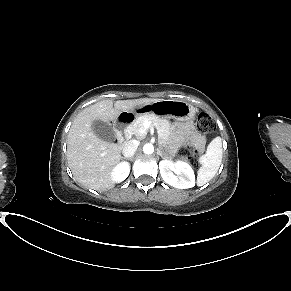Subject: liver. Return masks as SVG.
I'll use <instances>...</instances> for the list:
<instances>
[{"label": "liver", "instance_id": "obj_1", "mask_svg": "<svg viewBox=\"0 0 291 291\" xmlns=\"http://www.w3.org/2000/svg\"><path fill=\"white\" fill-rule=\"evenodd\" d=\"M160 99L140 98L134 100H103L85 108L74 119L68 133L67 160L71 172L80 184L98 191L114 187L111 171L121 157V148L100 139L92 129L96 120L111 124L122 112Z\"/></svg>", "mask_w": 291, "mask_h": 291}]
</instances>
